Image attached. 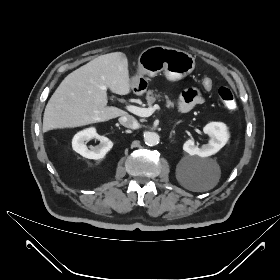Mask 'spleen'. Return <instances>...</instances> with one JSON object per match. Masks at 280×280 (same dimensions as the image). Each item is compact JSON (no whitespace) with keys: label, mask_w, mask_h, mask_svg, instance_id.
<instances>
[{"label":"spleen","mask_w":280,"mask_h":280,"mask_svg":"<svg viewBox=\"0 0 280 280\" xmlns=\"http://www.w3.org/2000/svg\"><path fill=\"white\" fill-rule=\"evenodd\" d=\"M215 185H216V182L212 183V184L209 185V186H206V187L204 188V190H209V189L213 188Z\"/></svg>","instance_id":"1"}]
</instances>
